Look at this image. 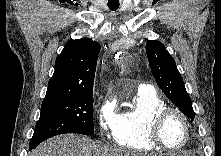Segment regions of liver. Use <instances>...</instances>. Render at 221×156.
Listing matches in <instances>:
<instances>
[{
    "label": "liver",
    "mask_w": 221,
    "mask_h": 156,
    "mask_svg": "<svg viewBox=\"0 0 221 156\" xmlns=\"http://www.w3.org/2000/svg\"><path fill=\"white\" fill-rule=\"evenodd\" d=\"M30 156H149L116 146L98 145L77 134L53 137L34 149Z\"/></svg>",
    "instance_id": "liver-1"
}]
</instances>
